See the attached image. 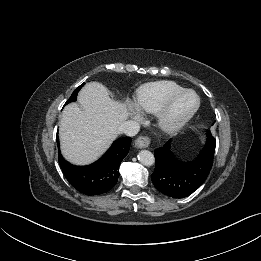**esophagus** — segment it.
<instances>
[{
  "mask_svg": "<svg viewBox=\"0 0 261 261\" xmlns=\"http://www.w3.org/2000/svg\"><path fill=\"white\" fill-rule=\"evenodd\" d=\"M150 144V138L147 136H139L135 140V145L138 148H147Z\"/></svg>",
  "mask_w": 261,
  "mask_h": 261,
  "instance_id": "34e87169",
  "label": "esophagus"
}]
</instances>
